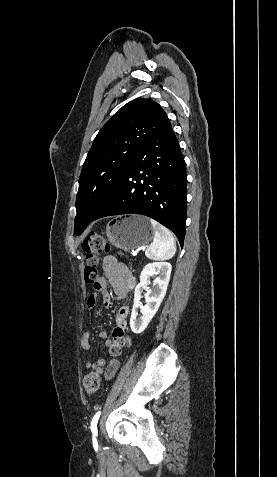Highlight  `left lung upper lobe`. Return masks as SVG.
Here are the masks:
<instances>
[{"label": "left lung upper lobe", "instance_id": "obj_1", "mask_svg": "<svg viewBox=\"0 0 277 477\" xmlns=\"http://www.w3.org/2000/svg\"><path fill=\"white\" fill-rule=\"evenodd\" d=\"M170 121L159 104L135 99L99 131L83 164L74 232L85 229L103 207L126 166Z\"/></svg>", "mask_w": 277, "mask_h": 477}]
</instances>
